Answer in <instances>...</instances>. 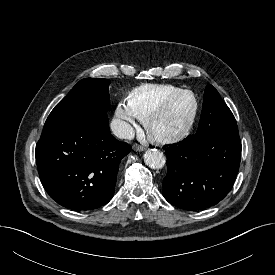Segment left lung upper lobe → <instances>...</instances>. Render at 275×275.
<instances>
[{
    "label": "left lung upper lobe",
    "instance_id": "left-lung-upper-lobe-1",
    "mask_svg": "<svg viewBox=\"0 0 275 275\" xmlns=\"http://www.w3.org/2000/svg\"><path fill=\"white\" fill-rule=\"evenodd\" d=\"M195 135L239 136L237 123L231 110L212 85L205 88L202 113Z\"/></svg>",
    "mask_w": 275,
    "mask_h": 275
}]
</instances>
